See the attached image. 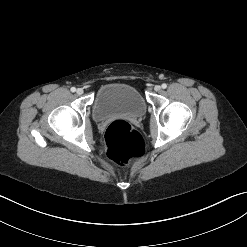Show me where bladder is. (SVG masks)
<instances>
[{
	"label": "bladder",
	"mask_w": 247,
	"mask_h": 247,
	"mask_svg": "<svg viewBox=\"0 0 247 247\" xmlns=\"http://www.w3.org/2000/svg\"><path fill=\"white\" fill-rule=\"evenodd\" d=\"M146 111L141 93L132 85L109 83L101 86L93 103V118L104 121L113 116L140 117Z\"/></svg>",
	"instance_id": "obj_1"
}]
</instances>
